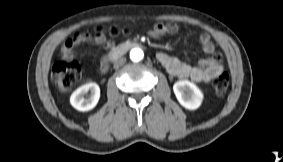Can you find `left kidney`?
Wrapping results in <instances>:
<instances>
[{"label": "left kidney", "instance_id": "5707ae66", "mask_svg": "<svg viewBox=\"0 0 283 162\" xmlns=\"http://www.w3.org/2000/svg\"><path fill=\"white\" fill-rule=\"evenodd\" d=\"M173 91L178 102L188 110L199 108L203 101L201 90L188 80L177 81L173 85Z\"/></svg>", "mask_w": 283, "mask_h": 162}]
</instances>
